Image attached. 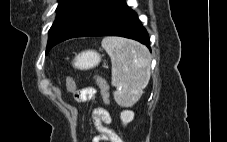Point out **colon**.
<instances>
[{
	"mask_svg": "<svg viewBox=\"0 0 227 142\" xmlns=\"http://www.w3.org/2000/svg\"><path fill=\"white\" fill-rule=\"evenodd\" d=\"M96 82H97V85L99 86V88L101 90L103 100L105 102H107L108 101V86H107L106 82L101 78H96ZM67 89H68L69 93H72V94L75 93V80H74V78L69 77L67 79Z\"/></svg>",
	"mask_w": 227,
	"mask_h": 142,
	"instance_id": "5ec220e1",
	"label": "colon"
}]
</instances>
